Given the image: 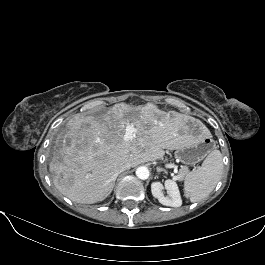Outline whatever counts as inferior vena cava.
Returning <instances> with one entry per match:
<instances>
[{"label": "inferior vena cava", "instance_id": "inferior-vena-cava-1", "mask_svg": "<svg viewBox=\"0 0 265 265\" xmlns=\"http://www.w3.org/2000/svg\"><path fill=\"white\" fill-rule=\"evenodd\" d=\"M131 163L129 161H125V162H122V163H119L118 166H117V173H121L127 169H130L131 168Z\"/></svg>", "mask_w": 265, "mask_h": 265}]
</instances>
